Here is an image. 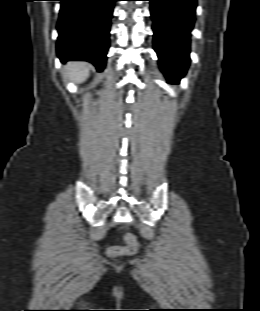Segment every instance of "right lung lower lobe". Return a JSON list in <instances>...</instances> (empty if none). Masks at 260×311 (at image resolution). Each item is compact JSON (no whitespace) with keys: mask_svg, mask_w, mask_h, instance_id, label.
Segmentation results:
<instances>
[{"mask_svg":"<svg viewBox=\"0 0 260 311\" xmlns=\"http://www.w3.org/2000/svg\"><path fill=\"white\" fill-rule=\"evenodd\" d=\"M57 52L61 61L85 60L102 71L116 0H59Z\"/></svg>","mask_w":260,"mask_h":311,"instance_id":"obj_1","label":"right lung lower lobe"}]
</instances>
